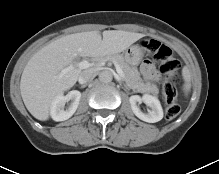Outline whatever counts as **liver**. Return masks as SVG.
Returning <instances> with one entry per match:
<instances>
[{
  "label": "liver",
  "instance_id": "obj_1",
  "mask_svg": "<svg viewBox=\"0 0 219 174\" xmlns=\"http://www.w3.org/2000/svg\"><path fill=\"white\" fill-rule=\"evenodd\" d=\"M142 37L122 30L104 31L102 36L98 31H89L63 36L44 46L30 58L21 76V97L27 110L38 120H48L53 101L72 88L83 72L74 68L59 77L76 57L119 53Z\"/></svg>",
  "mask_w": 219,
  "mask_h": 174
}]
</instances>
